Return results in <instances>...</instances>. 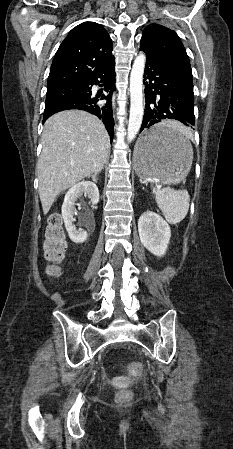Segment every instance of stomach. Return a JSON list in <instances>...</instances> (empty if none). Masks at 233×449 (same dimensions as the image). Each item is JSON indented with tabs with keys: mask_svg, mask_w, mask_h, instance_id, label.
I'll use <instances>...</instances> for the list:
<instances>
[{
	"mask_svg": "<svg viewBox=\"0 0 233 449\" xmlns=\"http://www.w3.org/2000/svg\"><path fill=\"white\" fill-rule=\"evenodd\" d=\"M192 147L184 133L160 123L146 128L137 141L133 163L137 174L149 181H179L192 162Z\"/></svg>",
	"mask_w": 233,
	"mask_h": 449,
	"instance_id": "stomach-1",
	"label": "stomach"
}]
</instances>
